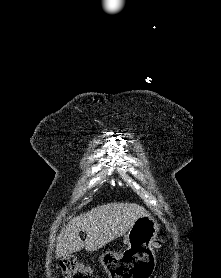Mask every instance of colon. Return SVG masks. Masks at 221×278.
I'll list each match as a JSON object with an SVG mask.
<instances>
[{
  "instance_id": "1",
  "label": "colon",
  "mask_w": 221,
  "mask_h": 278,
  "mask_svg": "<svg viewBox=\"0 0 221 278\" xmlns=\"http://www.w3.org/2000/svg\"><path fill=\"white\" fill-rule=\"evenodd\" d=\"M163 239L156 242V246L160 247ZM60 270L64 278H97L92 274L89 267L73 257H65L60 261Z\"/></svg>"
}]
</instances>
